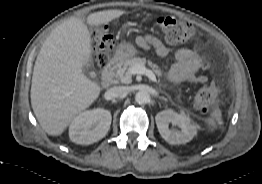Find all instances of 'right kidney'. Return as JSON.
Listing matches in <instances>:
<instances>
[{
    "label": "right kidney",
    "mask_w": 262,
    "mask_h": 184,
    "mask_svg": "<svg viewBox=\"0 0 262 184\" xmlns=\"http://www.w3.org/2000/svg\"><path fill=\"white\" fill-rule=\"evenodd\" d=\"M111 120V113L103 108L84 111L69 126L70 140L83 145L97 142L107 134Z\"/></svg>",
    "instance_id": "obj_1"
}]
</instances>
